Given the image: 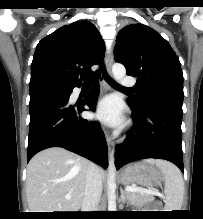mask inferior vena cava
I'll use <instances>...</instances> for the list:
<instances>
[{
	"label": "inferior vena cava",
	"instance_id": "obj_1",
	"mask_svg": "<svg viewBox=\"0 0 203 219\" xmlns=\"http://www.w3.org/2000/svg\"><path fill=\"white\" fill-rule=\"evenodd\" d=\"M102 194V181L99 178L98 166L90 163L86 173V185L82 200V212L97 211Z\"/></svg>",
	"mask_w": 203,
	"mask_h": 219
}]
</instances>
